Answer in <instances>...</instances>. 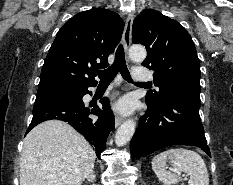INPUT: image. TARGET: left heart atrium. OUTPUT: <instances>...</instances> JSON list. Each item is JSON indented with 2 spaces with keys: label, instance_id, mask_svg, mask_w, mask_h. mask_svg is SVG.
<instances>
[{
  "label": "left heart atrium",
  "instance_id": "obj_1",
  "mask_svg": "<svg viewBox=\"0 0 233 185\" xmlns=\"http://www.w3.org/2000/svg\"><path fill=\"white\" fill-rule=\"evenodd\" d=\"M115 110L121 114H130L133 110V103L129 98H123L115 104Z\"/></svg>",
  "mask_w": 233,
  "mask_h": 185
}]
</instances>
